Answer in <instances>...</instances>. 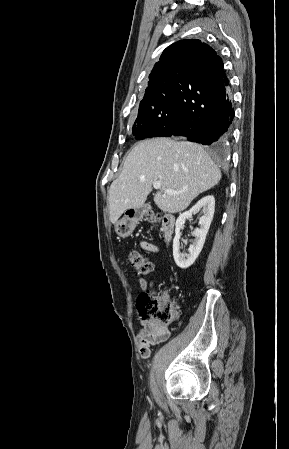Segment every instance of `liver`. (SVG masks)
Listing matches in <instances>:
<instances>
[{"label": "liver", "instance_id": "6515ba94", "mask_svg": "<svg viewBox=\"0 0 289 449\" xmlns=\"http://www.w3.org/2000/svg\"><path fill=\"white\" fill-rule=\"evenodd\" d=\"M220 179L221 171L201 145L164 137L142 141L127 155L122 173L110 186V221L115 225L126 210L141 207L155 182H161L155 204L177 213ZM166 189L179 194H166Z\"/></svg>", "mask_w": 289, "mask_h": 449}]
</instances>
